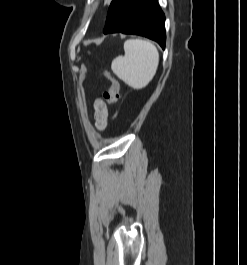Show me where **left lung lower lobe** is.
I'll use <instances>...</instances> for the list:
<instances>
[{
    "instance_id": "1",
    "label": "left lung lower lobe",
    "mask_w": 247,
    "mask_h": 265,
    "mask_svg": "<svg viewBox=\"0 0 247 265\" xmlns=\"http://www.w3.org/2000/svg\"><path fill=\"white\" fill-rule=\"evenodd\" d=\"M103 32L145 36L165 48V16L158 0H113Z\"/></svg>"
}]
</instances>
